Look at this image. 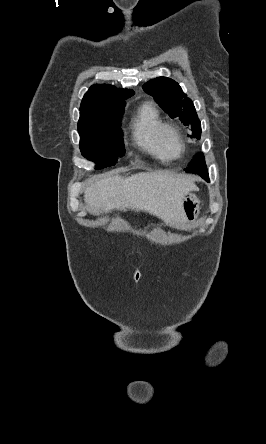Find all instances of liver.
Listing matches in <instances>:
<instances>
[{
	"label": "liver",
	"instance_id": "obj_1",
	"mask_svg": "<svg viewBox=\"0 0 266 444\" xmlns=\"http://www.w3.org/2000/svg\"><path fill=\"white\" fill-rule=\"evenodd\" d=\"M194 190L195 184L185 175L137 173L100 179L85 190L84 198L89 211L95 215L114 209L145 211L167 225L184 228L182 201Z\"/></svg>",
	"mask_w": 266,
	"mask_h": 444
}]
</instances>
